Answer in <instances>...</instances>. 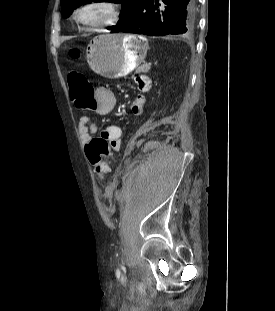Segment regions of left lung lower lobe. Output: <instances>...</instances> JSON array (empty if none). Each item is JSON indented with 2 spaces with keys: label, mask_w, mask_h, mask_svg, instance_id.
Listing matches in <instances>:
<instances>
[{
  "label": "left lung lower lobe",
  "mask_w": 275,
  "mask_h": 311,
  "mask_svg": "<svg viewBox=\"0 0 275 311\" xmlns=\"http://www.w3.org/2000/svg\"><path fill=\"white\" fill-rule=\"evenodd\" d=\"M196 0H143L136 18L114 32L149 36L188 35L195 28Z\"/></svg>",
  "instance_id": "obj_1"
}]
</instances>
